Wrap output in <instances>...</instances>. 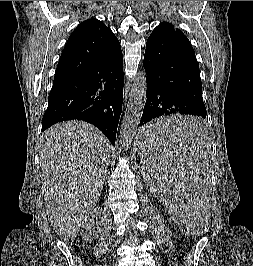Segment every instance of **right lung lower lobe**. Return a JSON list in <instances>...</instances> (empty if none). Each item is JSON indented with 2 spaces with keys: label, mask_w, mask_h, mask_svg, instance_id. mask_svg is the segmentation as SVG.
Returning a JSON list of instances; mask_svg holds the SVG:
<instances>
[{
  "label": "right lung lower lobe",
  "mask_w": 253,
  "mask_h": 266,
  "mask_svg": "<svg viewBox=\"0 0 253 266\" xmlns=\"http://www.w3.org/2000/svg\"><path fill=\"white\" fill-rule=\"evenodd\" d=\"M123 82L121 52L103 64L53 83L41 131L58 122L78 119L95 125L115 145Z\"/></svg>",
  "instance_id": "obj_1"
}]
</instances>
